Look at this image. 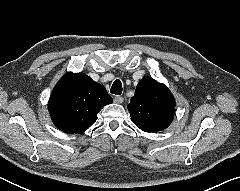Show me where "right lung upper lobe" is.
Listing matches in <instances>:
<instances>
[{
    "label": "right lung upper lobe",
    "mask_w": 240,
    "mask_h": 191,
    "mask_svg": "<svg viewBox=\"0 0 240 191\" xmlns=\"http://www.w3.org/2000/svg\"><path fill=\"white\" fill-rule=\"evenodd\" d=\"M112 102L103 85L86 74L68 72L54 87L48 111L58 129L74 134L86 131Z\"/></svg>",
    "instance_id": "obj_1"
}]
</instances>
